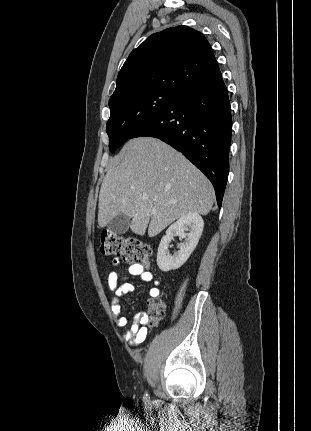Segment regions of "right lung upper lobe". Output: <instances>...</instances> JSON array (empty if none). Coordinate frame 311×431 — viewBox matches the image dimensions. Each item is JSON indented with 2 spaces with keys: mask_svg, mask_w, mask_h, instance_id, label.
Segmentation results:
<instances>
[{
  "mask_svg": "<svg viewBox=\"0 0 311 431\" xmlns=\"http://www.w3.org/2000/svg\"><path fill=\"white\" fill-rule=\"evenodd\" d=\"M220 75L207 39L187 26L173 27L152 34L130 53L111 98L139 90L181 94Z\"/></svg>",
  "mask_w": 311,
  "mask_h": 431,
  "instance_id": "cb5924a9",
  "label": "right lung upper lobe"
}]
</instances>
